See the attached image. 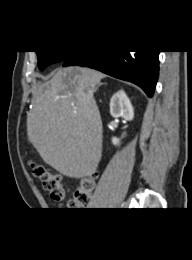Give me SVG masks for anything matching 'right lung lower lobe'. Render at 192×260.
Here are the masks:
<instances>
[{
  "label": "right lung lower lobe",
  "mask_w": 192,
  "mask_h": 260,
  "mask_svg": "<svg viewBox=\"0 0 192 260\" xmlns=\"http://www.w3.org/2000/svg\"><path fill=\"white\" fill-rule=\"evenodd\" d=\"M159 51H80L72 52L63 66H86L140 86L151 97L159 72Z\"/></svg>",
  "instance_id": "1"
}]
</instances>
